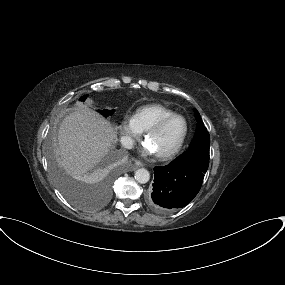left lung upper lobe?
<instances>
[{
	"label": "left lung upper lobe",
	"mask_w": 285,
	"mask_h": 285,
	"mask_svg": "<svg viewBox=\"0 0 285 285\" xmlns=\"http://www.w3.org/2000/svg\"><path fill=\"white\" fill-rule=\"evenodd\" d=\"M195 117L198 124L189 149L179 156L172 164L192 167L206 173L209 165L210 137L196 110Z\"/></svg>",
	"instance_id": "obj_1"
}]
</instances>
